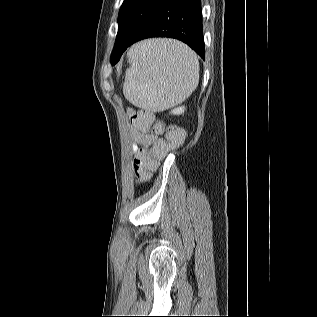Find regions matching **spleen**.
<instances>
[{"label":"spleen","instance_id":"1","mask_svg":"<svg viewBox=\"0 0 317 317\" xmlns=\"http://www.w3.org/2000/svg\"><path fill=\"white\" fill-rule=\"evenodd\" d=\"M123 94L133 105L160 112L185 101L199 82V61L187 45L149 39L128 52Z\"/></svg>","mask_w":317,"mask_h":317}]
</instances>
